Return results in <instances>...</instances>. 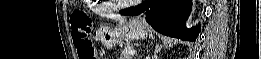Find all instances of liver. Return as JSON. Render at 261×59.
<instances>
[{
    "mask_svg": "<svg viewBox=\"0 0 261 59\" xmlns=\"http://www.w3.org/2000/svg\"><path fill=\"white\" fill-rule=\"evenodd\" d=\"M102 16H106L107 18H110V19L116 20V21H124L125 20V17H122L120 15H115V14L102 15Z\"/></svg>",
    "mask_w": 261,
    "mask_h": 59,
    "instance_id": "obj_1",
    "label": "liver"
}]
</instances>
